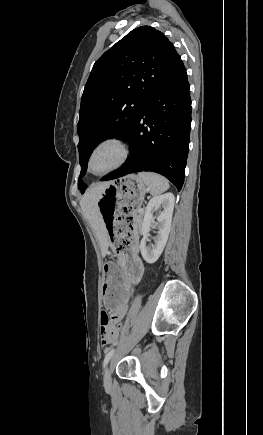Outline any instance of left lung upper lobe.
<instances>
[{"instance_id": "1", "label": "left lung upper lobe", "mask_w": 263, "mask_h": 435, "mask_svg": "<svg viewBox=\"0 0 263 435\" xmlns=\"http://www.w3.org/2000/svg\"><path fill=\"white\" fill-rule=\"evenodd\" d=\"M181 62L166 36L141 26L118 41L94 64L81 98L77 132L82 178L95 146L107 137L126 140L152 93ZM78 188H87L81 179Z\"/></svg>"}]
</instances>
